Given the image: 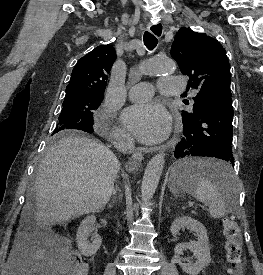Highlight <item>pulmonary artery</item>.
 <instances>
[{"label":"pulmonary artery","instance_id":"1","mask_svg":"<svg viewBox=\"0 0 263 275\" xmlns=\"http://www.w3.org/2000/svg\"><path fill=\"white\" fill-rule=\"evenodd\" d=\"M184 89L178 77H164L159 80L158 91L166 96H176ZM154 87L149 82H140L130 88L128 96L132 101H145L154 95Z\"/></svg>","mask_w":263,"mask_h":275}]
</instances>
